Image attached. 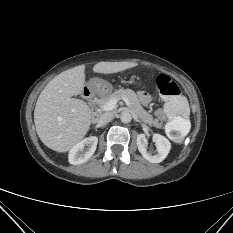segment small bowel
I'll list each match as a JSON object with an SVG mask.
<instances>
[{
	"label": "small bowel",
	"instance_id": "1",
	"mask_svg": "<svg viewBox=\"0 0 233 233\" xmlns=\"http://www.w3.org/2000/svg\"><path fill=\"white\" fill-rule=\"evenodd\" d=\"M140 97H141V99H142L143 101H145V102L149 100L148 96H147L145 93H141ZM157 115H158V116H161V111H158V112H157Z\"/></svg>",
	"mask_w": 233,
	"mask_h": 233
}]
</instances>
